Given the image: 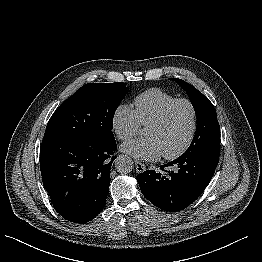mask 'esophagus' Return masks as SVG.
Returning <instances> with one entry per match:
<instances>
[{"mask_svg":"<svg viewBox=\"0 0 262 262\" xmlns=\"http://www.w3.org/2000/svg\"><path fill=\"white\" fill-rule=\"evenodd\" d=\"M135 167H136V171L139 173L144 172L146 170L145 165L139 161H135Z\"/></svg>","mask_w":262,"mask_h":262,"instance_id":"obj_1","label":"esophagus"}]
</instances>
